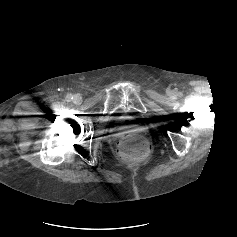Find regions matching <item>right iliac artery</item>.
<instances>
[{
  "instance_id": "obj_1",
  "label": "right iliac artery",
  "mask_w": 237,
  "mask_h": 237,
  "mask_svg": "<svg viewBox=\"0 0 237 237\" xmlns=\"http://www.w3.org/2000/svg\"><path fill=\"white\" fill-rule=\"evenodd\" d=\"M73 99V96L71 94H68L66 96V101L70 102Z\"/></svg>"
}]
</instances>
